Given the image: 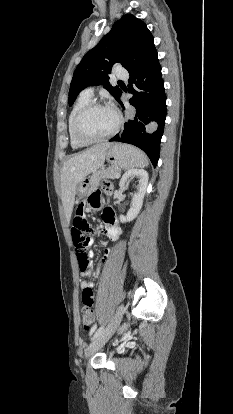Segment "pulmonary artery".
Segmentation results:
<instances>
[{
	"label": "pulmonary artery",
	"mask_w": 233,
	"mask_h": 414,
	"mask_svg": "<svg viewBox=\"0 0 233 414\" xmlns=\"http://www.w3.org/2000/svg\"><path fill=\"white\" fill-rule=\"evenodd\" d=\"M115 76L119 79H127L128 78V72L124 69H118L115 72ZM83 93L88 95V96H92L93 90H92V88H87L86 90H84Z\"/></svg>",
	"instance_id": "pulmonary-artery-1"
}]
</instances>
